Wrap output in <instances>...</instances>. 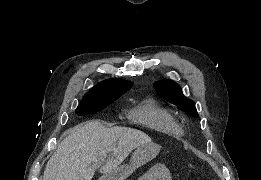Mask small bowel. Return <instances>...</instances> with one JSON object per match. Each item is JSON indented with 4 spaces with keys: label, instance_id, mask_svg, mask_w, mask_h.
<instances>
[{
    "label": "small bowel",
    "instance_id": "small-bowel-1",
    "mask_svg": "<svg viewBox=\"0 0 261 180\" xmlns=\"http://www.w3.org/2000/svg\"><path fill=\"white\" fill-rule=\"evenodd\" d=\"M171 174L163 164H156L141 176V180H170Z\"/></svg>",
    "mask_w": 261,
    "mask_h": 180
}]
</instances>
